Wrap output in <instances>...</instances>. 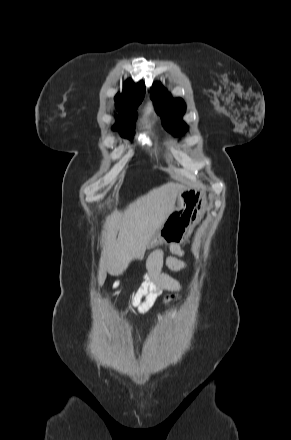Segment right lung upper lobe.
<instances>
[{
    "label": "right lung upper lobe",
    "instance_id": "cb5924a9",
    "mask_svg": "<svg viewBox=\"0 0 291 440\" xmlns=\"http://www.w3.org/2000/svg\"><path fill=\"white\" fill-rule=\"evenodd\" d=\"M145 94L143 82L134 84L127 80L122 93L115 96L116 108L119 112H132L142 102Z\"/></svg>",
    "mask_w": 291,
    "mask_h": 440
}]
</instances>
